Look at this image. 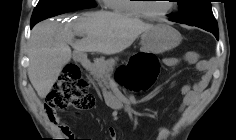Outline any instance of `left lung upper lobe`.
Returning a JSON list of instances; mask_svg holds the SVG:
<instances>
[{
    "mask_svg": "<svg viewBox=\"0 0 236 140\" xmlns=\"http://www.w3.org/2000/svg\"><path fill=\"white\" fill-rule=\"evenodd\" d=\"M179 14L168 15L171 21L197 26L214 34L218 39V25L211 9V0H176ZM218 35V37H217Z\"/></svg>",
    "mask_w": 236,
    "mask_h": 140,
    "instance_id": "1",
    "label": "left lung upper lobe"
}]
</instances>
